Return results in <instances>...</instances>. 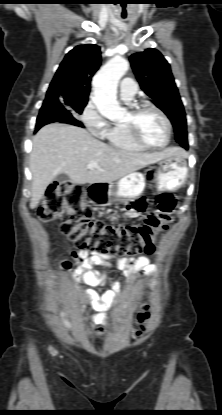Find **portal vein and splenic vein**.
I'll return each instance as SVG.
<instances>
[{"instance_id":"1","label":"portal vein and splenic vein","mask_w":222,"mask_h":415,"mask_svg":"<svg viewBox=\"0 0 222 415\" xmlns=\"http://www.w3.org/2000/svg\"><path fill=\"white\" fill-rule=\"evenodd\" d=\"M99 165L97 162H90L89 164H87L86 168L87 169H91V168H97Z\"/></svg>"}]
</instances>
